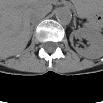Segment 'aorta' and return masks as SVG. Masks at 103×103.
I'll return each mask as SVG.
<instances>
[{
	"instance_id": "1",
	"label": "aorta",
	"mask_w": 103,
	"mask_h": 103,
	"mask_svg": "<svg viewBox=\"0 0 103 103\" xmlns=\"http://www.w3.org/2000/svg\"><path fill=\"white\" fill-rule=\"evenodd\" d=\"M55 17L61 24H68L71 21L72 14L69 8L59 7L55 10Z\"/></svg>"
}]
</instances>
